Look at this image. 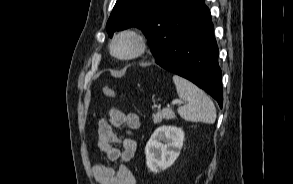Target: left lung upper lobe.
<instances>
[{
    "label": "left lung upper lobe",
    "instance_id": "5c2ea615",
    "mask_svg": "<svg viewBox=\"0 0 293 184\" xmlns=\"http://www.w3.org/2000/svg\"><path fill=\"white\" fill-rule=\"evenodd\" d=\"M183 0H117L106 24L112 37L115 31L135 26L148 39L154 56L162 49V43L170 28L172 12Z\"/></svg>",
    "mask_w": 293,
    "mask_h": 184
}]
</instances>
